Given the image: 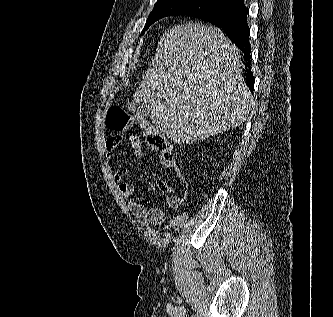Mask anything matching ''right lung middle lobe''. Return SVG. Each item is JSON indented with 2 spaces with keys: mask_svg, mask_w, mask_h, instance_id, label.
<instances>
[{
  "mask_svg": "<svg viewBox=\"0 0 333 317\" xmlns=\"http://www.w3.org/2000/svg\"><path fill=\"white\" fill-rule=\"evenodd\" d=\"M230 4L227 0H157L142 33L157 20L175 15L195 16Z\"/></svg>",
  "mask_w": 333,
  "mask_h": 317,
  "instance_id": "1",
  "label": "right lung middle lobe"
}]
</instances>
